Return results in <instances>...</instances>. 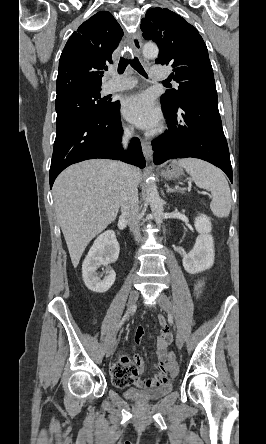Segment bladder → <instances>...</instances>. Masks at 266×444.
<instances>
[{
  "mask_svg": "<svg viewBox=\"0 0 266 444\" xmlns=\"http://www.w3.org/2000/svg\"><path fill=\"white\" fill-rule=\"evenodd\" d=\"M172 390L173 385L171 383H166L155 388H147L143 390L137 388H127L124 390L123 394L126 398L131 400L148 402L159 400L169 394Z\"/></svg>",
  "mask_w": 266,
  "mask_h": 444,
  "instance_id": "obj_1",
  "label": "bladder"
}]
</instances>
